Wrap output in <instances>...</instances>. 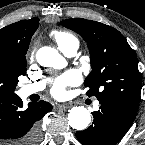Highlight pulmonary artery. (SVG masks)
I'll use <instances>...</instances> for the list:
<instances>
[{
    "mask_svg": "<svg viewBox=\"0 0 145 145\" xmlns=\"http://www.w3.org/2000/svg\"><path fill=\"white\" fill-rule=\"evenodd\" d=\"M59 48L63 54H65L68 57H72L77 53L78 44L77 43L63 44V45H59ZM43 88H44V82H36L33 84L22 86L19 90V93L21 97L25 98L41 91ZM98 106H99V102L96 101L94 103L95 109H98Z\"/></svg>",
    "mask_w": 145,
    "mask_h": 145,
    "instance_id": "1",
    "label": "pulmonary artery"
}]
</instances>
